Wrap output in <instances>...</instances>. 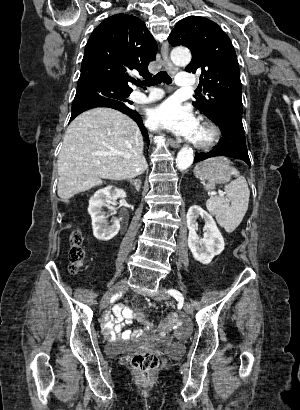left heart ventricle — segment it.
Returning <instances> with one entry per match:
<instances>
[{
  "instance_id": "obj_1",
  "label": "left heart ventricle",
  "mask_w": 300,
  "mask_h": 410,
  "mask_svg": "<svg viewBox=\"0 0 300 410\" xmlns=\"http://www.w3.org/2000/svg\"><path fill=\"white\" fill-rule=\"evenodd\" d=\"M208 136V133L206 130L198 126L197 132L195 134L194 140H204Z\"/></svg>"
}]
</instances>
